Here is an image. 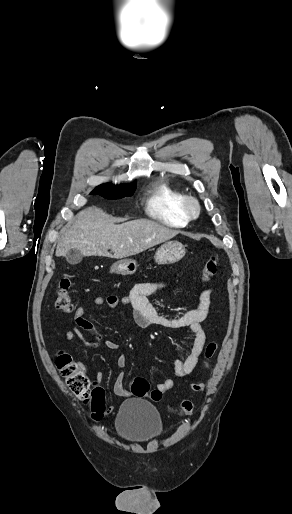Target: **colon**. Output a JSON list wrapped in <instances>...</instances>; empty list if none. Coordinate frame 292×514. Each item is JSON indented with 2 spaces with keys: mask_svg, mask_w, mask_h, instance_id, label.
Returning a JSON list of instances; mask_svg holds the SVG:
<instances>
[{
  "mask_svg": "<svg viewBox=\"0 0 292 514\" xmlns=\"http://www.w3.org/2000/svg\"><path fill=\"white\" fill-rule=\"evenodd\" d=\"M219 265L220 260L217 255L206 259L200 271L202 280L208 281L214 276L219 269ZM71 284V278H63L60 281L59 290L56 295L55 307L63 315H67L73 309V301L69 292ZM217 350V341H210L207 344L204 352V359L207 365L215 356ZM55 362L59 372L66 379L69 389L84 405L92 404V412L95 420H103L106 405L102 388L93 385L81 366L69 353L59 352ZM130 385L137 397L142 398L148 396L153 401H160L162 398V392L158 389H151L145 377L140 376L132 379ZM191 388L195 392H201L204 389V385L202 383H194L191 385ZM193 407V403L190 400H183L175 411L180 415H189L192 413Z\"/></svg>",
  "mask_w": 292,
  "mask_h": 514,
  "instance_id": "colon-1",
  "label": "colon"
}]
</instances>
